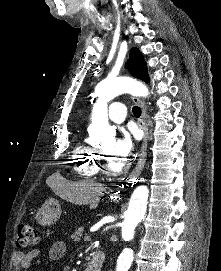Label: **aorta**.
Returning a JSON list of instances; mask_svg holds the SVG:
<instances>
[{
  "instance_id": "1",
  "label": "aorta",
  "mask_w": 221,
  "mask_h": 271,
  "mask_svg": "<svg viewBox=\"0 0 221 271\" xmlns=\"http://www.w3.org/2000/svg\"><path fill=\"white\" fill-rule=\"evenodd\" d=\"M123 93H131L132 95L143 97L149 94L145 85L128 77L105 79L100 82L95 89L97 101L92 112V129L94 131L98 133L113 132L108 124L107 103ZM148 197L149 190L146 186H139L133 191L125 213V219L122 223L121 233L123 240L129 241L133 239L136 226L145 216ZM132 261L133 250L124 248L118 257L116 271H128Z\"/></svg>"
}]
</instances>
